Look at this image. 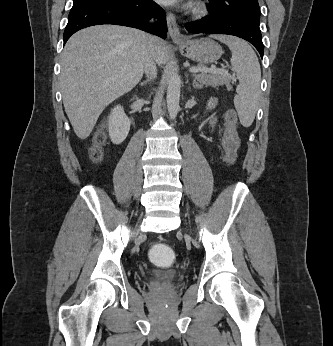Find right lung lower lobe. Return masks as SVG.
I'll use <instances>...</instances> for the list:
<instances>
[{
  "mask_svg": "<svg viewBox=\"0 0 333 346\" xmlns=\"http://www.w3.org/2000/svg\"><path fill=\"white\" fill-rule=\"evenodd\" d=\"M157 17V22L148 23ZM101 24L138 28L161 38L167 36L163 9L152 0H86L73 5L64 31V44L78 30Z\"/></svg>",
  "mask_w": 333,
  "mask_h": 346,
  "instance_id": "98d812e1",
  "label": "right lung lower lobe"
}]
</instances>
